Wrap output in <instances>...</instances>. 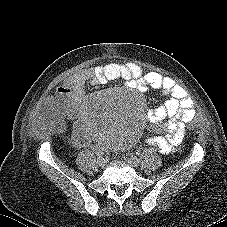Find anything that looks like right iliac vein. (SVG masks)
Here are the masks:
<instances>
[{"instance_id":"63e3f726","label":"right iliac vein","mask_w":227,"mask_h":227,"mask_svg":"<svg viewBox=\"0 0 227 227\" xmlns=\"http://www.w3.org/2000/svg\"><path fill=\"white\" fill-rule=\"evenodd\" d=\"M97 164H98V166H100V167L105 166V164H106V159L103 158V157H99V158L97 159Z\"/></svg>"}]
</instances>
